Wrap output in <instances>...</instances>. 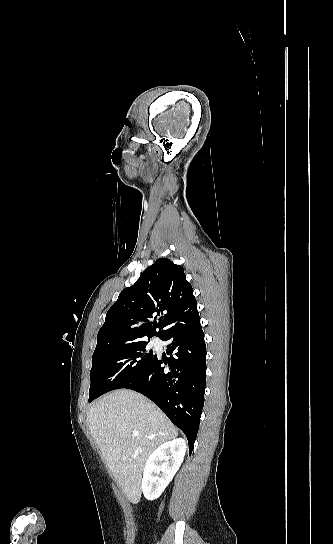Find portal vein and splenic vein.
<instances>
[{
  "label": "portal vein and splenic vein",
  "mask_w": 333,
  "mask_h": 544,
  "mask_svg": "<svg viewBox=\"0 0 333 544\" xmlns=\"http://www.w3.org/2000/svg\"><path fill=\"white\" fill-rule=\"evenodd\" d=\"M132 435L136 437V436L139 435V432H138V431H133V432H132Z\"/></svg>",
  "instance_id": "obj_1"
}]
</instances>
